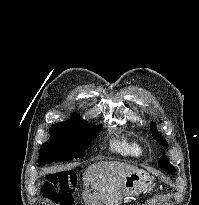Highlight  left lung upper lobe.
Listing matches in <instances>:
<instances>
[{"label": "left lung upper lobe", "instance_id": "1", "mask_svg": "<svg viewBox=\"0 0 199 205\" xmlns=\"http://www.w3.org/2000/svg\"><path fill=\"white\" fill-rule=\"evenodd\" d=\"M150 129L153 133V138L157 140L162 146L166 147L167 142L165 141L164 137H162V135L157 131L155 123L151 124ZM159 167L169 174H173L175 172L174 166L168 161L165 155L161 156V158L159 159Z\"/></svg>", "mask_w": 199, "mask_h": 205}]
</instances>
